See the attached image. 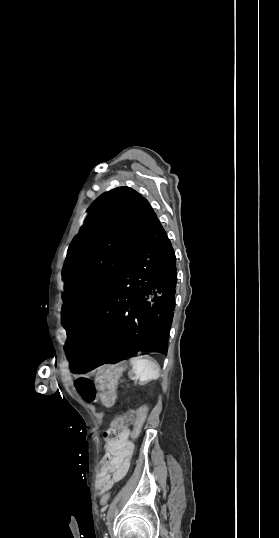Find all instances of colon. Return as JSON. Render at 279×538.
I'll use <instances>...</instances> for the list:
<instances>
[{"label":"colon","instance_id":"1","mask_svg":"<svg viewBox=\"0 0 279 538\" xmlns=\"http://www.w3.org/2000/svg\"><path fill=\"white\" fill-rule=\"evenodd\" d=\"M133 421L132 413L128 412L115 418L110 424L109 428L104 432V439L106 441V448L104 454L100 458L97 464L96 470V482L104 480L110 468V462L112 457L111 446L119 439L121 430L128 426ZM143 419L137 418L134 424L133 436H137L142 428ZM110 500L109 493H104L101 496V505H107Z\"/></svg>","mask_w":279,"mask_h":538}]
</instances>
